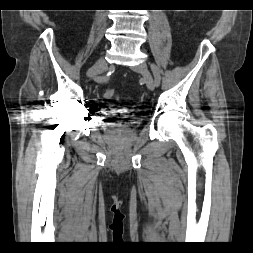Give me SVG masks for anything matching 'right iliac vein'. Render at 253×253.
Masks as SVG:
<instances>
[{
    "label": "right iliac vein",
    "instance_id": "63e3f726",
    "mask_svg": "<svg viewBox=\"0 0 253 253\" xmlns=\"http://www.w3.org/2000/svg\"><path fill=\"white\" fill-rule=\"evenodd\" d=\"M107 69V63L103 56H101L94 66L88 71V76L95 77L99 74H103Z\"/></svg>",
    "mask_w": 253,
    "mask_h": 253
}]
</instances>
